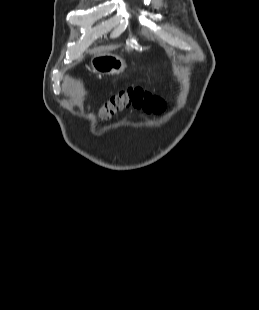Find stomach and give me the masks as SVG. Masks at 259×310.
I'll return each instance as SVG.
<instances>
[{
    "label": "stomach",
    "instance_id": "obj_1",
    "mask_svg": "<svg viewBox=\"0 0 259 310\" xmlns=\"http://www.w3.org/2000/svg\"><path fill=\"white\" fill-rule=\"evenodd\" d=\"M93 71L106 74H119L126 68L125 60L111 53L94 55L91 59Z\"/></svg>",
    "mask_w": 259,
    "mask_h": 310
}]
</instances>
